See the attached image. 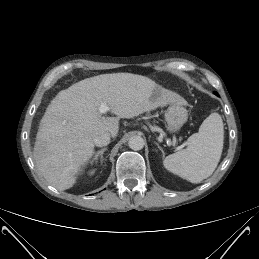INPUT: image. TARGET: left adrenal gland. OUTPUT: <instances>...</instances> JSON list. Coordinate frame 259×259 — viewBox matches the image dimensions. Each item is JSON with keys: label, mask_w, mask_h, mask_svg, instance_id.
Returning <instances> with one entry per match:
<instances>
[{"label": "left adrenal gland", "mask_w": 259, "mask_h": 259, "mask_svg": "<svg viewBox=\"0 0 259 259\" xmlns=\"http://www.w3.org/2000/svg\"><path fill=\"white\" fill-rule=\"evenodd\" d=\"M156 145L158 146L159 150L162 152L163 157H164V151H163V149L159 146V144H158V143H156Z\"/></svg>", "instance_id": "left-adrenal-gland-1"}]
</instances>
